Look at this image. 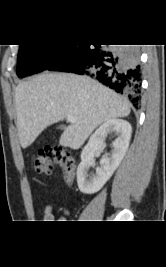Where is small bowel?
I'll list each match as a JSON object with an SVG mask.
<instances>
[{"instance_id": "c3829d8e", "label": "small bowel", "mask_w": 166, "mask_h": 267, "mask_svg": "<svg viewBox=\"0 0 166 267\" xmlns=\"http://www.w3.org/2000/svg\"><path fill=\"white\" fill-rule=\"evenodd\" d=\"M67 183L72 184V181L67 182ZM43 218L45 222H54L56 220L57 217H56L55 210L52 205H46L44 207Z\"/></svg>"}]
</instances>
